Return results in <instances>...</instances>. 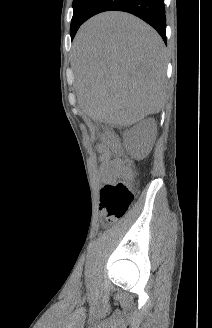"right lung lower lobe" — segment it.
<instances>
[{"label": "right lung lower lobe", "instance_id": "obj_1", "mask_svg": "<svg viewBox=\"0 0 212 328\" xmlns=\"http://www.w3.org/2000/svg\"><path fill=\"white\" fill-rule=\"evenodd\" d=\"M104 11H124L150 24L166 42V17L164 0H95L85 21ZM75 34L71 36V39Z\"/></svg>", "mask_w": 212, "mask_h": 328}]
</instances>
